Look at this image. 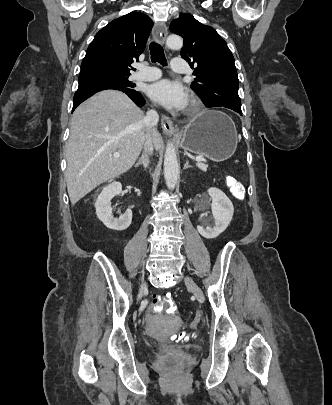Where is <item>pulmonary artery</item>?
Returning a JSON list of instances; mask_svg holds the SVG:
<instances>
[{
    "instance_id": "pulmonary-artery-1",
    "label": "pulmonary artery",
    "mask_w": 332,
    "mask_h": 405,
    "mask_svg": "<svg viewBox=\"0 0 332 405\" xmlns=\"http://www.w3.org/2000/svg\"><path fill=\"white\" fill-rule=\"evenodd\" d=\"M171 69L175 73H186L187 64L182 58H174L171 61ZM161 76V71L156 67H150L146 65H139V71L135 74V79L141 81L156 80Z\"/></svg>"
}]
</instances>
